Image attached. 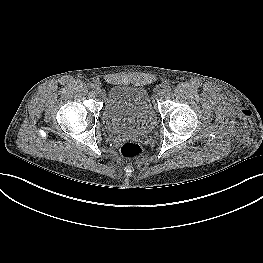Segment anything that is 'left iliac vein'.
Instances as JSON below:
<instances>
[{"label":"left iliac vein","instance_id":"obj_1","mask_svg":"<svg viewBox=\"0 0 263 263\" xmlns=\"http://www.w3.org/2000/svg\"><path fill=\"white\" fill-rule=\"evenodd\" d=\"M165 95V90H161L160 93H159V97H162Z\"/></svg>","mask_w":263,"mask_h":263}]
</instances>
